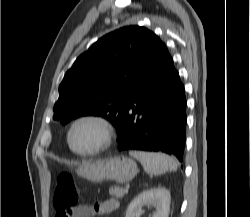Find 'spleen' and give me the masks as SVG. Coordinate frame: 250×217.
Here are the masks:
<instances>
[{
	"label": "spleen",
	"mask_w": 250,
	"mask_h": 217,
	"mask_svg": "<svg viewBox=\"0 0 250 217\" xmlns=\"http://www.w3.org/2000/svg\"><path fill=\"white\" fill-rule=\"evenodd\" d=\"M129 154L140 161L148 174L158 175L177 170V162L164 153L130 151Z\"/></svg>",
	"instance_id": "spleen-1"
}]
</instances>
